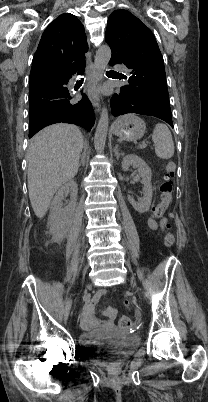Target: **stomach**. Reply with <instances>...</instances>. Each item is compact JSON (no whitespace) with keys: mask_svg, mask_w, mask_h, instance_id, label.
I'll use <instances>...</instances> for the list:
<instances>
[{"mask_svg":"<svg viewBox=\"0 0 208 402\" xmlns=\"http://www.w3.org/2000/svg\"><path fill=\"white\" fill-rule=\"evenodd\" d=\"M113 134L126 142H136L145 134V122L135 114H125L118 118L112 126Z\"/></svg>","mask_w":208,"mask_h":402,"instance_id":"obj_1","label":"stomach"}]
</instances>
